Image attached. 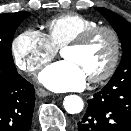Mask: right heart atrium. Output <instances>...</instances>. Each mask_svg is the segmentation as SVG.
<instances>
[{"label": "right heart atrium", "instance_id": "obj_1", "mask_svg": "<svg viewBox=\"0 0 131 131\" xmlns=\"http://www.w3.org/2000/svg\"><path fill=\"white\" fill-rule=\"evenodd\" d=\"M11 50L16 65L29 74L52 60L57 52L46 35L36 29H27L17 35Z\"/></svg>", "mask_w": 131, "mask_h": 131}]
</instances>
